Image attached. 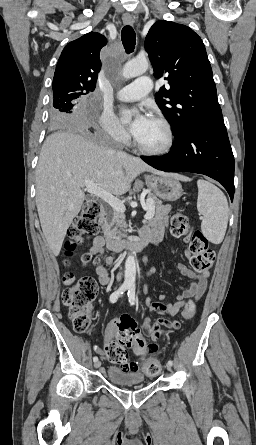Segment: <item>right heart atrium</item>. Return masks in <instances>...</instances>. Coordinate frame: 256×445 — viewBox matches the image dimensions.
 <instances>
[{
	"instance_id": "obj_1",
	"label": "right heart atrium",
	"mask_w": 256,
	"mask_h": 445,
	"mask_svg": "<svg viewBox=\"0 0 256 445\" xmlns=\"http://www.w3.org/2000/svg\"><path fill=\"white\" fill-rule=\"evenodd\" d=\"M99 124L102 132L115 143H125L128 134L119 123L114 113L108 109H103L99 115Z\"/></svg>"
}]
</instances>
